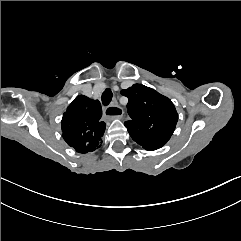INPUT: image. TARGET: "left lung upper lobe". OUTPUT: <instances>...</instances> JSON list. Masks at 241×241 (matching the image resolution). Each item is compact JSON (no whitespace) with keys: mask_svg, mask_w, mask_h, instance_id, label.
<instances>
[{"mask_svg":"<svg viewBox=\"0 0 241 241\" xmlns=\"http://www.w3.org/2000/svg\"><path fill=\"white\" fill-rule=\"evenodd\" d=\"M121 94L129 99L127 109L131 120L124 125L132 139L149 151L162 147L173 134L178 120L171 100L141 84H134Z\"/></svg>","mask_w":241,"mask_h":241,"instance_id":"left-lung-upper-lobe-1","label":"left lung upper lobe"}]
</instances>
